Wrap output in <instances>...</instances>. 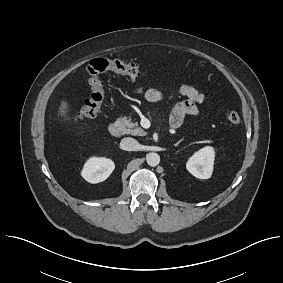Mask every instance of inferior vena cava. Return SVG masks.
I'll return each instance as SVG.
<instances>
[{"label":"inferior vena cava","instance_id":"obj_1","mask_svg":"<svg viewBox=\"0 0 283 283\" xmlns=\"http://www.w3.org/2000/svg\"><path fill=\"white\" fill-rule=\"evenodd\" d=\"M121 148L126 151H135L139 147L137 140L131 137H126L121 140Z\"/></svg>","mask_w":283,"mask_h":283}]
</instances>
